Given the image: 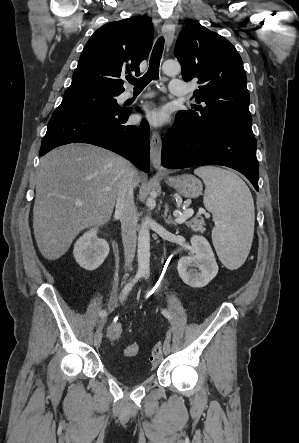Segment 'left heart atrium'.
Returning <instances> with one entry per match:
<instances>
[{"label":"left heart atrium","mask_w":299,"mask_h":443,"mask_svg":"<svg viewBox=\"0 0 299 443\" xmlns=\"http://www.w3.org/2000/svg\"><path fill=\"white\" fill-rule=\"evenodd\" d=\"M140 119L146 121L152 126H162L167 121V113L164 109L157 108L146 111L140 116Z\"/></svg>","instance_id":"left-heart-atrium-1"}]
</instances>
